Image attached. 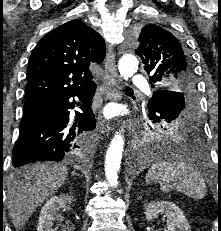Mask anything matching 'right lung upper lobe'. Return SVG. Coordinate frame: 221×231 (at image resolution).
Here are the masks:
<instances>
[{"label":"right lung upper lobe","mask_w":221,"mask_h":231,"mask_svg":"<svg viewBox=\"0 0 221 231\" xmlns=\"http://www.w3.org/2000/svg\"><path fill=\"white\" fill-rule=\"evenodd\" d=\"M101 35L81 20L69 21L46 34L29 58L25 102L92 86L89 65L105 58Z\"/></svg>","instance_id":"obj_1"}]
</instances>
